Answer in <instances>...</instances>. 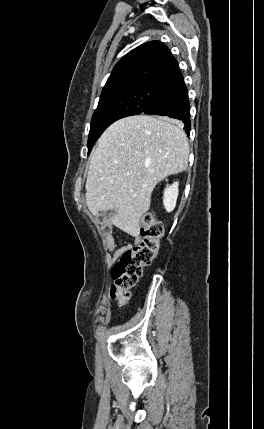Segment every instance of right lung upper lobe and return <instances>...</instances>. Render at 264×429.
<instances>
[{"instance_id":"right-lung-upper-lobe-1","label":"right lung upper lobe","mask_w":264,"mask_h":429,"mask_svg":"<svg viewBox=\"0 0 264 429\" xmlns=\"http://www.w3.org/2000/svg\"><path fill=\"white\" fill-rule=\"evenodd\" d=\"M179 70L177 61L170 50L159 41L145 43L126 56L114 67L102 94L136 86H161Z\"/></svg>"}]
</instances>
